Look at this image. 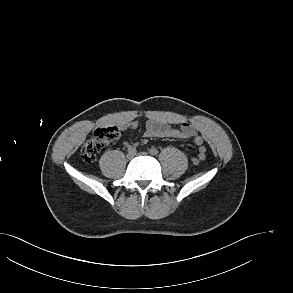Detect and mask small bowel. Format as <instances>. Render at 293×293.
Listing matches in <instances>:
<instances>
[{
  "mask_svg": "<svg viewBox=\"0 0 293 293\" xmlns=\"http://www.w3.org/2000/svg\"><path fill=\"white\" fill-rule=\"evenodd\" d=\"M138 126L137 121H132L128 124H123L122 127L136 128ZM145 136L149 138H192L196 145L199 146V152L206 151L203 146V138L200 136L193 125L189 123H182L178 127H174L164 117L149 114L145 124Z\"/></svg>",
  "mask_w": 293,
  "mask_h": 293,
  "instance_id": "obj_1",
  "label": "small bowel"
}]
</instances>
